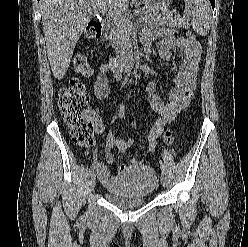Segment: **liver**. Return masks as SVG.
<instances>
[{"mask_svg": "<svg viewBox=\"0 0 248 247\" xmlns=\"http://www.w3.org/2000/svg\"><path fill=\"white\" fill-rule=\"evenodd\" d=\"M129 0H41L46 49L56 79L66 74L76 43L91 15L123 12Z\"/></svg>", "mask_w": 248, "mask_h": 247, "instance_id": "obj_1", "label": "liver"}]
</instances>
